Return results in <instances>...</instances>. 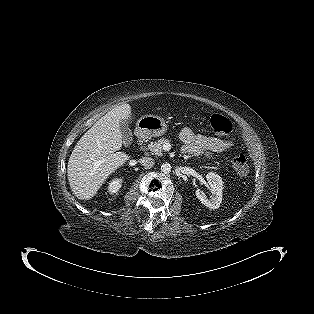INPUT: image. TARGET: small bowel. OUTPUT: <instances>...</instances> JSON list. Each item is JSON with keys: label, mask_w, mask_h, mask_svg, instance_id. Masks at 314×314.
I'll use <instances>...</instances> for the list:
<instances>
[{"label": "small bowel", "mask_w": 314, "mask_h": 314, "mask_svg": "<svg viewBox=\"0 0 314 314\" xmlns=\"http://www.w3.org/2000/svg\"><path fill=\"white\" fill-rule=\"evenodd\" d=\"M179 135L180 139L185 144L184 151L195 156L204 155L212 157L220 155L234 146V141L231 139L224 140L196 134L187 127L181 129Z\"/></svg>", "instance_id": "small-bowel-1"}]
</instances>
